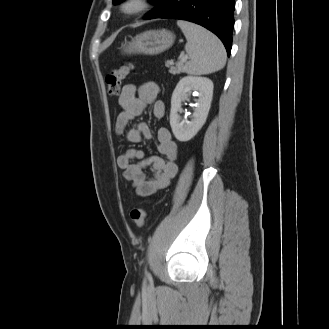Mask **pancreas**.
<instances>
[{
  "label": "pancreas",
  "mask_w": 329,
  "mask_h": 329,
  "mask_svg": "<svg viewBox=\"0 0 329 329\" xmlns=\"http://www.w3.org/2000/svg\"><path fill=\"white\" fill-rule=\"evenodd\" d=\"M165 66L169 68V73H171L173 75L180 74L185 69V67H184V65H183L182 62H178L174 66V64L172 62H169L168 61V62H166Z\"/></svg>",
  "instance_id": "cf45deb5"
}]
</instances>
